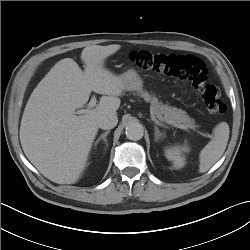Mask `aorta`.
<instances>
[{"instance_id":"1","label":"aorta","mask_w":250,"mask_h":250,"mask_svg":"<svg viewBox=\"0 0 250 250\" xmlns=\"http://www.w3.org/2000/svg\"><path fill=\"white\" fill-rule=\"evenodd\" d=\"M144 135V128L143 126L136 121L130 122L126 126V136L130 140H140Z\"/></svg>"}]
</instances>
